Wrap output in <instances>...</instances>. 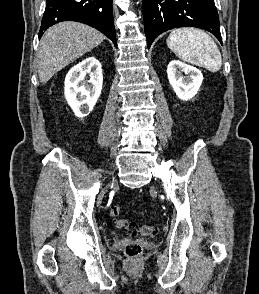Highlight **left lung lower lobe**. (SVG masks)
Listing matches in <instances>:
<instances>
[{"instance_id":"0a47b994","label":"left lung lower lobe","mask_w":259,"mask_h":294,"mask_svg":"<svg viewBox=\"0 0 259 294\" xmlns=\"http://www.w3.org/2000/svg\"><path fill=\"white\" fill-rule=\"evenodd\" d=\"M147 46L161 33L178 27H198L214 34L222 43L214 0H143Z\"/></svg>"}]
</instances>
